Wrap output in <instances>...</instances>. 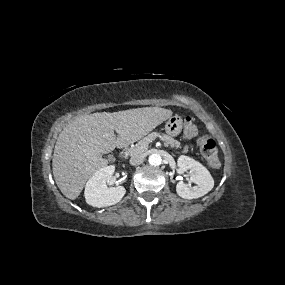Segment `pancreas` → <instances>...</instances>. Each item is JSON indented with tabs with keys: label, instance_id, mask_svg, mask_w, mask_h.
<instances>
[{
	"label": "pancreas",
	"instance_id": "pancreas-1",
	"mask_svg": "<svg viewBox=\"0 0 285 285\" xmlns=\"http://www.w3.org/2000/svg\"><path fill=\"white\" fill-rule=\"evenodd\" d=\"M156 138H159L160 140L164 141L165 144L169 145L172 148L178 149L181 147V143L172 138L171 136L166 134H160L158 132H152L148 136L140 140L138 143H136L134 147L129 148L126 154L130 156L143 154L148 149V145Z\"/></svg>",
	"mask_w": 285,
	"mask_h": 285
}]
</instances>
